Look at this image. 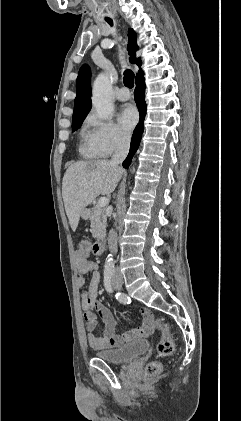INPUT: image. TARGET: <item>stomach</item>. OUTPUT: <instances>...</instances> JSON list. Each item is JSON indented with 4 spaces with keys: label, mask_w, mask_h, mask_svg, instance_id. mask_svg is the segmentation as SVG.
Returning <instances> with one entry per match:
<instances>
[{
    "label": "stomach",
    "mask_w": 241,
    "mask_h": 421,
    "mask_svg": "<svg viewBox=\"0 0 241 421\" xmlns=\"http://www.w3.org/2000/svg\"><path fill=\"white\" fill-rule=\"evenodd\" d=\"M81 217H82L83 219H88V218H90V212H89L88 210L84 209V210L81 212Z\"/></svg>",
    "instance_id": "1"
}]
</instances>
